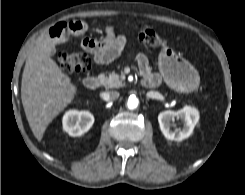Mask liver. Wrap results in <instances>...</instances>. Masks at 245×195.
<instances>
[{
	"mask_svg": "<svg viewBox=\"0 0 245 195\" xmlns=\"http://www.w3.org/2000/svg\"><path fill=\"white\" fill-rule=\"evenodd\" d=\"M67 40L54 38L39 43L25 63L21 99L29 126L38 141L52 120L77 94V87L50 56L55 45Z\"/></svg>",
	"mask_w": 245,
	"mask_h": 195,
	"instance_id": "6515ba94",
	"label": "liver"
}]
</instances>
